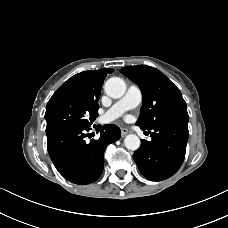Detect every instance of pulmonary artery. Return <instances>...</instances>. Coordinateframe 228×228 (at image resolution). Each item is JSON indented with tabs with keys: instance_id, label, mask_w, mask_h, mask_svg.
I'll return each mask as SVG.
<instances>
[{
	"instance_id": "pulmonary-artery-1",
	"label": "pulmonary artery",
	"mask_w": 228,
	"mask_h": 228,
	"mask_svg": "<svg viewBox=\"0 0 228 228\" xmlns=\"http://www.w3.org/2000/svg\"><path fill=\"white\" fill-rule=\"evenodd\" d=\"M142 101V92L136 85H130L125 95L112 105L100 118V123H109L128 110L136 108Z\"/></svg>"
}]
</instances>
